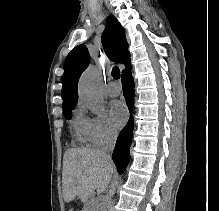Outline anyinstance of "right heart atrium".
Returning a JSON list of instances; mask_svg holds the SVG:
<instances>
[{"label":"right heart atrium","mask_w":219,"mask_h":211,"mask_svg":"<svg viewBox=\"0 0 219 211\" xmlns=\"http://www.w3.org/2000/svg\"><path fill=\"white\" fill-rule=\"evenodd\" d=\"M83 123L87 138L95 146L111 144L118 135L117 127L103 109L92 110Z\"/></svg>","instance_id":"right-heart-atrium-1"}]
</instances>
